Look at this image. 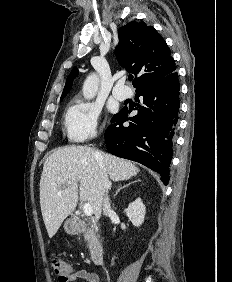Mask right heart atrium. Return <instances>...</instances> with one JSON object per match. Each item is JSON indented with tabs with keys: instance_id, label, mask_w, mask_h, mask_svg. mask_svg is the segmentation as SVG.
Wrapping results in <instances>:
<instances>
[{
	"instance_id": "d8ad5b80",
	"label": "right heart atrium",
	"mask_w": 232,
	"mask_h": 282,
	"mask_svg": "<svg viewBox=\"0 0 232 282\" xmlns=\"http://www.w3.org/2000/svg\"><path fill=\"white\" fill-rule=\"evenodd\" d=\"M100 111L92 103L74 100L65 114V129L73 143H83L96 136Z\"/></svg>"
}]
</instances>
